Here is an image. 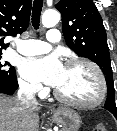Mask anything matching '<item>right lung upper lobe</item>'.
Wrapping results in <instances>:
<instances>
[{"mask_svg":"<svg viewBox=\"0 0 117 131\" xmlns=\"http://www.w3.org/2000/svg\"><path fill=\"white\" fill-rule=\"evenodd\" d=\"M31 12V0H0V52L9 43L5 36L21 34L28 25Z\"/></svg>","mask_w":117,"mask_h":131,"instance_id":"cb5924a9","label":"right lung upper lobe"}]
</instances>
